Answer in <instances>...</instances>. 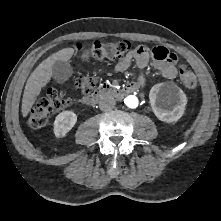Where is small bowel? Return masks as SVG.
I'll return each instance as SVG.
<instances>
[{
	"instance_id": "1",
	"label": "small bowel",
	"mask_w": 221,
	"mask_h": 221,
	"mask_svg": "<svg viewBox=\"0 0 221 221\" xmlns=\"http://www.w3.org/2000/svg\"><path fill=\"white\" fill-rule=\"evenodd\" d=\"M151 58L154 61L155 67L166 79H174L178 71L185 68V66L178 65L177 56L171 51H168L165 47L157 46L150 52L148 47L139 45L115 65L114 72H125L133 61H135L138 68L143 71L149 64ZM134 85L138 89L145 86V77L142 73L139 75Z\"/></svg>"
}]
</instances>
